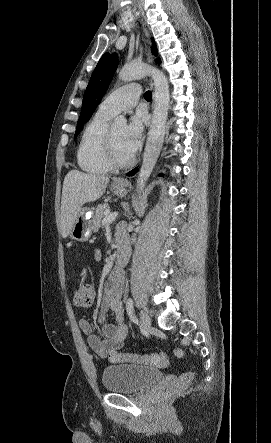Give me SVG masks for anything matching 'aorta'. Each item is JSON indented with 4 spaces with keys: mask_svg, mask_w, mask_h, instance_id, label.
Masks as SVG:
<instances>
[{
    "mask_svg": "<svg viewBox=\"0 0 271 443\" xmlns=\"http://www.w3.org/2000/svg\"><path fill=\"white\" fill-rule=\"evenodd\" d=\"M144 76L153 78L155 102L143 162L136 184L137 194L144 190L162 150L170 104L169 82L161 70L149 68L147 64H129V66H124L118 74L119 80H123V82H131V80L144 78ZM126 122L124 116H118L114 120L116 126H125Z\"/></svg>",
    "mask_w": 271,
    "mask_h": 443,
    "instance_id": "1",
    "label": "aorta"
}]
</instances>
